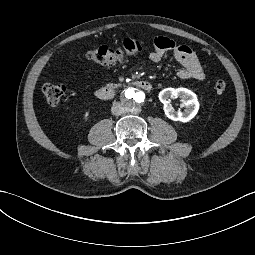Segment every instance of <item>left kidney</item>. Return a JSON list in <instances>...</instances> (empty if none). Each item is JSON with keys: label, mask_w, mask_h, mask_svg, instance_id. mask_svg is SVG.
<instances>
[{"label": "left kidney", "mask_w": 255, "mask_h": 255, "mask_svg": "<svg viewBox=\"0 0 255 255\" xmlns=\"http://www.w3.org/2000/svg\"><path fill=\"white\" fill-rule=\"evenodd\" d=\"M170 98H180L185 110L176 112L170 104ZM159 100L164 105L165 115L174 121L188 122L199 110L197 95L187 88H165L159 93Z\"/></svg>", "instance_id": "1"}]
</instances>
